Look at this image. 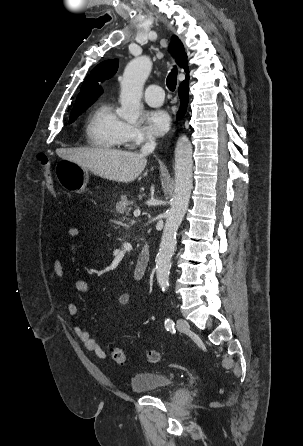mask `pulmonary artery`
<instances>
[{
	"instance_id": "pulmonary-artery-1",
	"label": "pulmonary artery",
	"mask_w": 303,
	"mask_h": 446,
	"mask_svg": "<svg viewBox=\"0 0 303 446\" xmlns=\"http://www.w3.org/2000/svg\"><path fill=\"white\" fill-rule=\"evenodd\" d=\"M144 99L151 106H160L164 99L163 89L158 85H149L145 89Z\"/></svg>"
}]
</instances>
